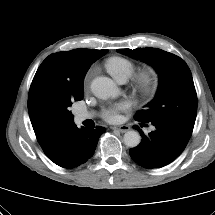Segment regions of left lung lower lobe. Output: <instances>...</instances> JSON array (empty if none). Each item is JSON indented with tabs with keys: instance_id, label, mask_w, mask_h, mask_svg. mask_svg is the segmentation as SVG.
<instances>
[{
	"instance_id": "left-lung-lower-lobe-1",
	"label": "left lung lower lobe",
	"mask_w": 215,
	"mask_h": 215,
	"mask_svg": "<svg viewBox=\"0 0 215 215\" xmlns=\"http://www.w3.org/2000/svg\"><path fill=\"white\" fill-rule=\"evenodd\" d=\"M152 124L155 130L147 136L138 126L133 127L142 133L143 139L138 146L129 151L131 158L147 169L168 165L183 152L189 141L188 137L166 124Z\"/></svg>"
}]
</instances>
